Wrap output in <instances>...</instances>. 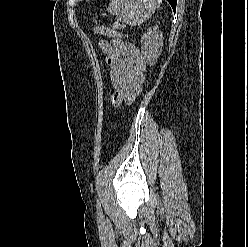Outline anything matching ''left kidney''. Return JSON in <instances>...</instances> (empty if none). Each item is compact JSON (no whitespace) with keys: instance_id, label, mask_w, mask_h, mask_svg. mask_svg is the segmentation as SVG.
I'll return each mask as SVG.
<instances>
[{"instance_id":"5707ae66","label":"left kidney","mask_w":248,"mask_h":247,"mask_svg":"<svg viewBox=\"0 0 248 247\" xmlns=\"http://www.w3.org/2000/svg\"><path fill=\"white\" fill-rule=\"evenodd\" d=\"M163 46V33L158 26L150 27L141 37V49L147 63L155 65L161 54Z\"/></svg>"}]
</instances>
